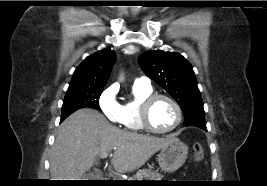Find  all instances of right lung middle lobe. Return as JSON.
<instances>
[{
    "label": "right lung middle lobe",
    "instance_id": "obj_1",
    "mask_svg": "<svg viewBox=\"0 0 267 186\" xmlns=\"http://www.w3.org/2000/svg\"><path fill=\"white\" fill-rule=\"evenodd\" d=\"M102 91V88L67 90L62 106L61 120L63 121L73 112L81 108L87 107L101 110L99 97Z\"/></svg>",
    "mask_w": 267,
    "mask_h": 186
}]
</instances>
